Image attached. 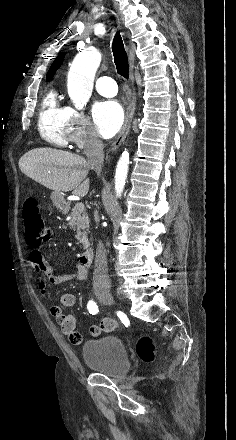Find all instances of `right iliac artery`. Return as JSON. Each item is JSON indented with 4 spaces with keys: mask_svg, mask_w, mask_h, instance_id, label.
Segmentation results:
<instances>
[{
    "mask_svg": "<svg viewBox=\"0 0 236 440\" xmlns=\"http://www.w3.org/2000/svg\"><path fill=\"white\" fill-rule=\"evenodd\" d=\"M87 309L90 314L95 315L99 312L98 306L95 301L90 300L87 304Z\"/></svg>",
    "mask_w": 236,
    "mask_h": 440,
    "instance_id": "right-iliac-artery-1",
    "label": "right iliac artery"
}]
</instances>
